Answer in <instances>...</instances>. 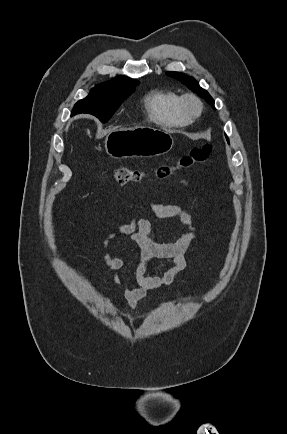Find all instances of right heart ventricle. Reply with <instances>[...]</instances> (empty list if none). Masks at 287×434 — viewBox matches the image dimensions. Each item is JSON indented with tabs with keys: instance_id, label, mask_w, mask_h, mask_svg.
<instances>
[{
	"instance_id": "e07e8e85",
	"label": "right heart ventricle",
	"mask_w": 287,
	"mask_h": 434,
	"mask_svg": "<svg viewBox=\"0 0 287 434\" xmlns=\"http://www.w3.org/2000/svg\"><path fill=\"white\" fill-rule=\"evenodd\" d=\"M149 117L156 123L167 126H184L190 119L180 108V96L169 90H154L145 100Z\"/></svg>"
}]
</instances>
